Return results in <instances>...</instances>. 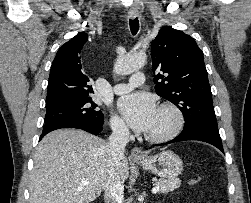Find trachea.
I'll list each match as a JSON object with an SVG mask.
<instances>
[{"mask_svg": "<svg viewBox=\"0 0 251 203\" xmlns=\"http://www.w3.org/2000/svg\"><path fill=\"white\" fill-rule=\"evenodd\" d=\"M130 30L133 35H136L139 30V20L138 18L129 20Z\"/></svg>", "mask_w": 251, "mask_h": 203, "instance_id": "trachea-1", "label": "trachea"}]
</instances>
